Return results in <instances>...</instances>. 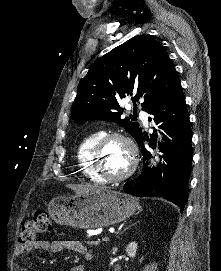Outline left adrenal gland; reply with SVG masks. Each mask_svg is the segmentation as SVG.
Masks as SVG:
<instances>
[{
  "label": "left adrenal gland",
  "instance_id": "obj_1",
  "mask_svg": "<svg viewBox=\"0 0 221 271\" xmlns=\"http://www.w3.org/2000/svg\"><path fill=\"white\" fill-rule=\"evenodd\" d=\"M132 225H135V223H132ZM125 229H128V227H125Z\"/></svg>",
  "mask_w": 221,
  "mask_h": 271
}]
</instances>
